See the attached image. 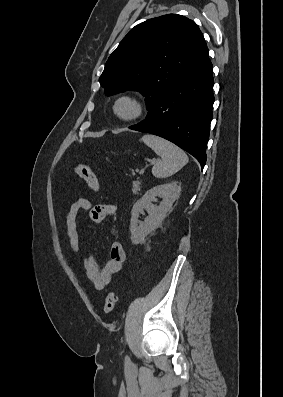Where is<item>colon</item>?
Segmentation results:
<instances>
[{"mask_svg": "<svg viewBox=\"0 0 283 397\" xmlns=\"http://www.w3.org/2000/svg\"><path fill=\"white\" fill-rule=\"evenodd\" d=\"M73 172L81 177L87 183L91 190L96 193L100 192V184L97 176L89 165L79 163L73 167ZM115 305L116 296L113 293H109L105 299L104 311L106 313H111Z\"/></svg>", "mask_w": 283, "mask_h": 397, "instance_id": "5ec220e1", "label": "colon"}]
</instances>
